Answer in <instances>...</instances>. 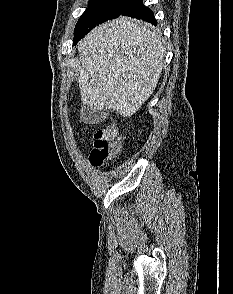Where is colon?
<instances>
[{
	"label": "colon",
	"instance_id": "5ec220e1",
	"mask_svg": "<svg viewBox=\"0 0 233 294\" xmlns=\"http://www.w3.org/2000/svg\"><path fill=\"white\" fill-rule=\"evenodd\" d=\"M119 151L117 130L113 125L97 129L93 134V149L90 161L95 166L102 165L107 159Z\"/></svg>",
	"mask_w": 233,
	"mask_h": 294
}]
</instances>
